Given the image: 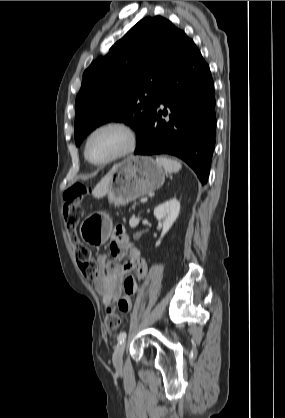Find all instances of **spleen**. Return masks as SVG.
Masks as SVG:
<instances>
[{"label":"spleen","instance_id":"obj_1","mask_svg":"<svg viewBox=\"0 0 285 418\" xmlns=\"http://www.w3.org/2000/svg\"><path fill=\"white\" fill-rule=\"evenodd\" d=\"M155 162L161 166L166 173H177L182 167L180 162L162 156L156 157Z\"/></svg>","mask_w":285,"mask_h":418}]
</instances>
